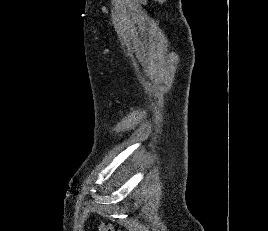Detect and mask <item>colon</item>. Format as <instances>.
<instances>
[{
    "label": "colon",
    "mask_w": 268,
    "mask_h": 231,
    "mask_svg": "<svg viewBox=\"0 0 268 231\" xmlns=\"http://www.w3.org/2000/svg\"><path fill=\"white\" fill-rule=\"evenodd\" d=\"M96 231H116V230H114L110 222L102 221L97 226Z\"/></svg>",
    "instance_id": "1"
}]
</instances>
